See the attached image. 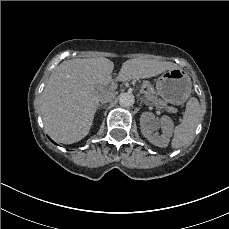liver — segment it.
<instances>
[{
    "mask_svg": "<svg viewBox=\"0 0 229 229\" xmlns=\"http://www.w3.org/2000/svg\"><path fill=\"white\" fill-rule=\"evenodd\" d=\"M114 67L105 57L73 58L62 61L51 73L35 109L54 142L74 144L90 133L100 100L112 101L116 95L106 89ZM177 68L168 61L133 58L122 63L117 81L152 78Z\"/></svg>",
    "mask_w": 229,
    "mask_h": 229,
    "instance_id": "obj_1",
    "label": "liver"
}]
</instances>
